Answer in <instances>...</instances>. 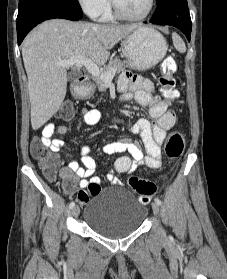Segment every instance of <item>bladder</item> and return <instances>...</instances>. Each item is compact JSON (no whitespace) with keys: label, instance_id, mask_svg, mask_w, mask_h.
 <instances>
[{"label":"bladder","instance_id":"31cf9c89","mask_svg":"<svg viewBox=\"0 0 227 279\" xmlns=\"http://www.w3.org/2000/svg\"><path fill=\"white\" fill-rule=\"evenodd\" d=\"M105 191L93 193L86 203L83 220L97 234L107 238H121L137 230L147 216V209L124 187L102 198Z\"/></svg>","mask_w":227,"mask_h":279}]
</instances>
